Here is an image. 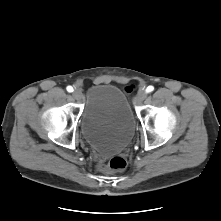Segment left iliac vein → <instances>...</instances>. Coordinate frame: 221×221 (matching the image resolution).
<instances>
[{"label":"left iliac vein","mask_w":221,"mask_h":221,"mask_svg":"<svg viewBox=\"0 0 221 221\" xmlns=\"http://www.w3.org/2000/svg\"><path fill=\"white\" fill-rule=\"evenodd\" d=\"M147 97V91L144 90V89H140L137 93V96H136V104H140L142 101H144Z\"/></svg>","instance_id":"obj_1"}]
</instances>
